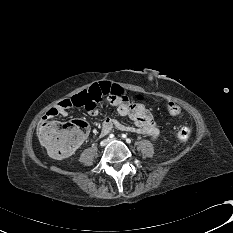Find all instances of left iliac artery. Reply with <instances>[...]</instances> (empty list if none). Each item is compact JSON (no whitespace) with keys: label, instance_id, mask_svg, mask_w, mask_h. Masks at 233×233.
Here are the masks:
<instances>
[{"label":"left iliac artery","instance_id":"obj_1","mask_svg":"<svg viewBox=\"0 0 233 233\" xmlns=\"http://www.w3.org/2000/svg\"><path fill=\"white\" fill-rule=\"evenodd\" d=\"M122 137L126 138L127 136L125 134H122ZM126 141H127V143H131V139H129V138H127Z\"/></svg>","mask_w":233,"mask_h":233}]
</instances>
